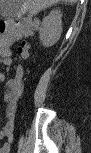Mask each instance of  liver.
<instances>
[{"label":"liver","instance_id":"1","mask_svg":"<svg viewBox=\"0 0 91 153\" xmlns=\"http://www.w3.org/2000/svg\"><path fill=\"white\" fill-rule=\"evenodd\" d=\"M32 2H33L32 4H33L34 6H40V5H42V4H45V2H43V1H38V0H37V1H32Z\"/></svg>","mask_w":91,"mask_h":153}]
</instances>
